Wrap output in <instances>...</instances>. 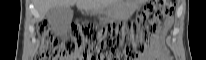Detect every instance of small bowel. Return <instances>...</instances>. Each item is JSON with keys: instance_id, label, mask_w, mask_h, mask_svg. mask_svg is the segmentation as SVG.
Masks as SVG:
<instances>
[{"instance_id": "obj_1", "label": "small bowel", "mask_w": 206, "mask_h": 60, "mask_svg": "<svg viewBox=\"0 0 206 60\" xmlns=\"http://www.w3.org/2000/svg\"><path fill=\"white\" fill-rule=\"evenodd\" d=\"M168 24L160 26L152 40V46L149 53V59L152 60H169L170 56L164 46V36L167 32Z\"/></svg>"}]
</instances>
